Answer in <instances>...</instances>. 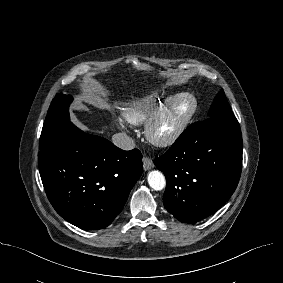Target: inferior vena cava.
Segmentation results:
<instances>
[{
    "label": "inferior vena cava",
    "instance_id": "inferior-vena-cava-1",
    "mask_svg": "<svg viewBox=\"0 0 283 283\" xmlns=\"http://www.w3.org/2000/svg\"><path fill=\"white\" fill-rule=\"evenodd\" d=\"M114 145L123 150H132L135 148L134 140L125 133H117L112 136Z\"/></svg>",
    "mask_w": 283,
    "mask_h": 283
}]
</instances>
